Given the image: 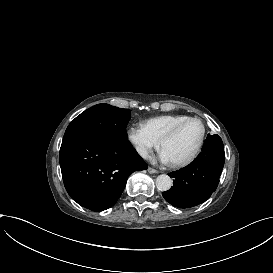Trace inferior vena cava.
Returning a JSON list of instances; mask_svg holds the SVG:
<instances>
[{"label": "inferior vena cava", "instance_id": "602c4592", "mask_svg": "<svg viewBox=\"0 0 273 273\" xmlns=\"http://www.w3.org/2000/svg\"><path fill=\"white\" fill-rule=\"evenodd\" d=\"M139 153L143 158L147 157V150L146 149H141Z\"/></svg>", "mask_w": 273, "mask_h": 273}]
</instances>
